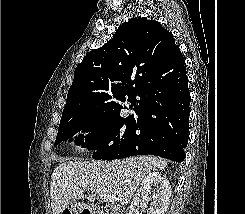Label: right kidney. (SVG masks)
<instances>
[{"mask_svg":"<svg viewBox=\"0 0 245 214\" xmlns=\"http://www.w3.org/2000/svg\"><path fill=\"white\" fill-rule=\"evenodd\" d=\"M152 194V199L147 198ZM171 195V186L168 179L163 177L159 172L149 173L141 183L133 199L129 214H138L139 205L146 204L150 201L148 214H165Z\"/></svg>","mask_w":245,"mask_h":214,"instance_id":"1","label":"right kidney"}]
</instances>
